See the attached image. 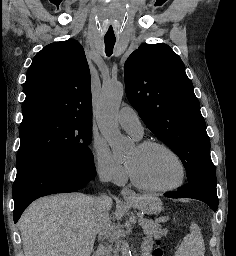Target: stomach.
Wrapping results in <instances>:
<instances>
[{"mask_svg": "<svg viewBox=\"0 0 236 256\" xmlns=\"http://www.w3.org/2000/svg\"><path fill=\"white\" fill-rule=\"evenodd\" d=\"M129 202L146 214L156 215L162 210V202L156 197L143 196L136 201Z\"/></svg>", "mask_w": 236, "mask_h": 256, "instance_id": "stomach-1", "label": "stomach"}]
</instances>
